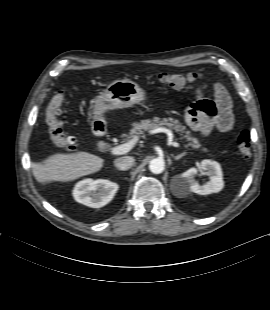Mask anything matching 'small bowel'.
<instances>
[{
  "instance_id": "1",
  "label": "small bowel",
  "mask_w": 270,
  "mask_h": 310,
  "mask_svg": "<svg viewBox=\"0 0 270 310\" xmlns=\"http://www.w3.org/2000/svg\"><path fill=\"white\" fill-rule=\"evenodd\" d=\"M215 106L218 113L208 114L199 110V102L205 99L203 91L196 89V100L187 111L185 121L187 125L201 135H207L212 129L220 132L229 131L234 124L231 98L221 83L214 85Z\"/></svg>"
}]
</instances>
